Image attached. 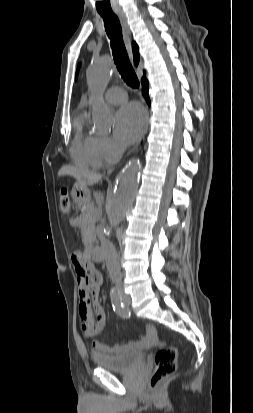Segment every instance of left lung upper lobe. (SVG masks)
Here are the masks:
<instances>
[{
    "label": "left lung upper lobe",
    "mask_w": 253,
    "mask_h": 413,
    "mask_svg": "<svg viewBox=\"0 0 253 413\" xmlns=\"http://www.w3.org/2000/svg\"><path fill=\"white\" fill-rule=\"evenodd\" d=\"M77 75H78V69H77V72H76V77H77Z\"/></svg>",
    "instance_id": "left-lung-upper-lobe-1"
}]
</instances>
